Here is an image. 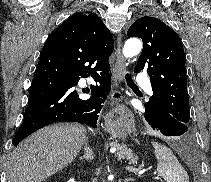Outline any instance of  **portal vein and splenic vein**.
I'll list each match as a JSON object with an SVG mask.
<instances>
[{
  "instance_id": "portal-vein-and-splenic-vein-1",
  "label": "portal vein and splenic vein",
  "mask_w": 211,
  "mask_h": 182,
  "mask_svg": "<svg viewBox=\"0 0 211 182\" xmlns=\"http://www.w3.org/2000/svg\"><path fill=\"white\" fill-rule=\"evenodd\" d=\"M116 149L113 148L110 150V152H115ZM126 169L129 171V172H133V173H138V174H141V171H139L138 169L136 168H133V167H126ZM155 179L159 180L160 182H163V180L160 178V177H155Z\"/></svg>"
}]
</instances>
